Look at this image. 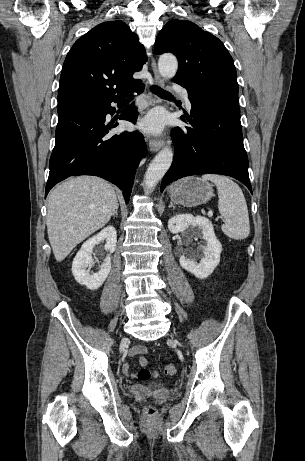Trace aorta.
<instances>
[{"mask_svg":"<svg viewBox=\"0 0 305 461\" xmlns=\"http://www.w3.org/2000/svg\"><path fill=\"white\" fill-rule=\"evenodd\" d=\"M160 75L165 79L173 78L178 69V61L174 55L165 54L158 61ZM173 152L169 147L163 148L150 163L144 177L145 192L151 193L156 184L163 178L171 166Z\"/></svg>","mask_w":305,"mask_h":461,"instance_id":"762f6f07","label":"aorta"}]
</instances>
